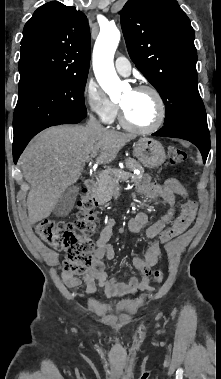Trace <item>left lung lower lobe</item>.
<instances>
[{
	"label": "left lung lower lobe",
	"mask_w": 221,
	"mask_h": 379,
	"mask_svg": "<svg viewBox=\"0 0 221 379\" xmlns=\"http://www.w3.org/2000/svg\"><path fill=\"white\" fill-rule=\"evenodd\" d=\"M152 135L188 140L199 148L203 161L204 163L206 162L210 150V134L207 124L189 120H175L165 124L164 127Z\"/></svg>",
	"instance_id": "obj_1"
}]
</instances>
